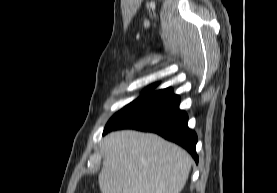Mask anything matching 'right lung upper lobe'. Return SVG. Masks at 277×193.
I'll return each instance as SVG.
<instances>
[{
    "mask_svg": "<svg viewBox=\"0 0 277 193\" xmlns=\"http://www.w3.org/2000/svg\"><path fill=\"white\" fill-rule=\"evenodd\" d=\"M155 87H156V84L150 86L149 88H147V89L145 90L146 93H147V94L153 93V92H154L153 89H154Z\"/></svg>",
    "mask_w": 277,
    "mask_h": 193,
    "instance_id": "obj_1",
    "label": "right lung upper lobe"
}]
</instances>
